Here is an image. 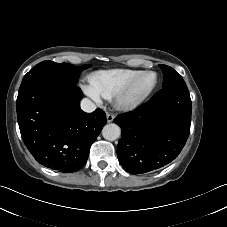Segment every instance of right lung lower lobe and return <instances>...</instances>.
<instances>
[{"instance_id": "obj_1", "label": "right lung lower lobe", "mask_w": 227, "mask_h": 227, "mask_svg": "<svg viewBox=\"0 0 227 227\" xmlns=\"http://www.w3.org/2000/svg\"><path fill=\"white\" fill-rule=\"evenodd\" d=\"M76 83L56 76L38 75L22 81L16 101L22 139L33 157L45 167L63 173L81 169L90 147L106 124L105 113H85Z\"/></svg>"}]
</instances>
